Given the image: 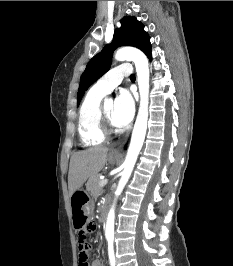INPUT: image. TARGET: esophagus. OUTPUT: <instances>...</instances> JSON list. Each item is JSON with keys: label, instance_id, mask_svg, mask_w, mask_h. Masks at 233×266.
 <instances>
[{"label": "esophagus", "instance_id": "obj_1", "mask_svg": "<svg viewBox=\"0 0 233 266\" xmlns=\"http://www.w3.org/2000/svg\"><path fill=\"white\" fill-rule=\"evenodd\" d=\"M126 140H127V139H126ZM123 145H124V143H123ZM123 145H121V146H119L118 148L112 150V153H113V154H119V153L121 152V150H122Z\"/></svg>", "mask_w": 233, "mask_h": 266}]
</instances>
